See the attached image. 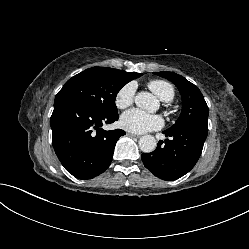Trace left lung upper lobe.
<instances>
[{"label":"left lung upper lobe","instance_id":"left-lung-upper-lobe-1","mask_svg":"<svg viewBox=\"0 0 249 249\" xmlns=\"http://www.w3.org/2000/svg\"><path fill=\"white\" fill-rule=\"evenodd\" d=\"M175 84L182 96V111L176 123L168 130H175L197 121L208 120V106L201 91L181 75L172 72H153Z\"/></svg>","mask_w":249,"mask_h":249}]
</instances>
